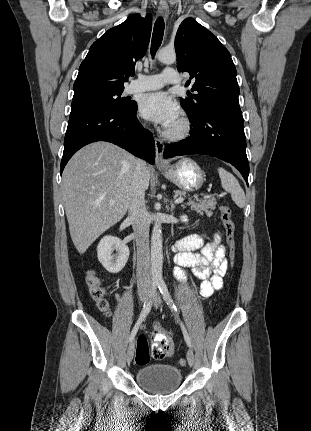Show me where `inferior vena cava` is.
Returning <instances> with one entry per match:
<instances>
[{
	"label": "inferior vena cava",
	"instance_id": "602c4592",
	"mask_svg": "<svg viewBox=\"0 0 311 431\" xmlns=\"http://www.w3.org/2000/svg\"><path fill=\"white\" fill-rule=\"evenodd\" d=\"M128 217L132 221L137 245V293L138 295H147L152 283L149 247L150 223L145 204V182L141 172V160H138L133 174Z\"/></svg>",
	"mask_w": 311,
	"mask_h": 431
}]
</instances>
